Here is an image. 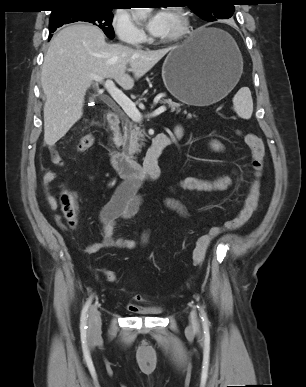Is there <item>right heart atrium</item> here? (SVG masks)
Wrapping results in <instances>:
<instances>
[{"label": "right heart atrium", "instance_id": "right-heart-atrium-1", "mask_svg": "<svg viewBox=\"0 0 306 387\" xmlns=\"http://www.w3.org/2000/svg\"><path fill=\"white\" fill-rule=\"evenodd\" d=\"M112 28L117 38L126 44L138 45L146 39L144 31L125 10L115 12L112 19Z\"/></svg>", "mask_w": 306, "mask_h": 387}]
</instances>
